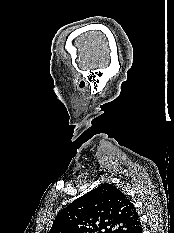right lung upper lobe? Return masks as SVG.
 <instances>
[{
	"label": "right lung upper lobe",
	"mask_w": 174,
	"mask_h": 233,
	"mask_svg": "<svg viewBox=\"0 0 174 233\" xmlns=\"http://www.w3.org/2000/svg\"><path fill=\"white\" fill-rule=\"evenodd\" d=\"M140 227L133 203L105 183L61 210L49 233H136Z\"/></svg>",
	"instance_id": "1"
}]
</instances>
